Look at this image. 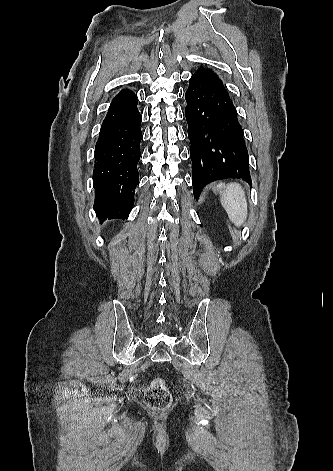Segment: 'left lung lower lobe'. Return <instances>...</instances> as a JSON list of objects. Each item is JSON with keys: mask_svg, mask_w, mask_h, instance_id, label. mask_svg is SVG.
I'll list each match as a JSON object with an SVG mask.
<instances>
[{"mask_svg": "<svg viewBox=\"0 0 333 471\" xmlns=\"http://www.w3.org/2000/svg\"><path fill=\"white\" fill-rule=\"evenodd\" d=\"M185 99L194 197H199L205 185L222 178L251 183L244 133L219 77L200 67L190 79Z\"/></svg>", "mask_w": 333, "mask_h": 471, "instance_id": "0a47b994", "label": "left lung lower lobe"}]
</instances>
